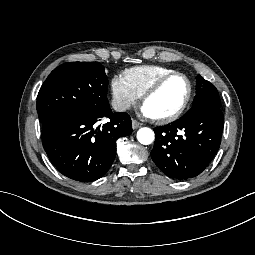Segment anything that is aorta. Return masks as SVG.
Masks as SVG:
<instances>
[{
  "mask_svg": "<svg viewBox=\"0 0 255 255\" xmlns=\"http://www.w3.org/2000/svg\"><path fill=\"white\" fill-rule=\"evenodd\" d=\"M137 139L143 145H149L154 140V132L147 127H143L137 132Z\"/></svg>",
  "mask_w": 255,
  "mask_h": 255,
  "instance_id": "762f6f07",
  "label": "aorta"
}]
</instances>
